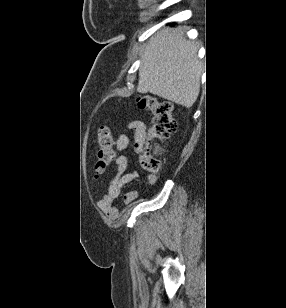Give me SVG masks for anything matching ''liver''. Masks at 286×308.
Returning a JSON list of instances; mask_svg holds the SVG:
<instances>
[{
    "instance_id": "liver-1",
    "label": "liver",
    "mask_w": 286,
    "mask_h": 308,
    "mask_svg": "<svg viewBox=\"0 0 286 308\" xmlns=\"http://www.w3.org/2000/svg\"><path fill=\"white\" fill-rule=\"evenodd\" d=\"M202 64L184 33L164 28L148 42L139 68V93H151L189 108L200 92Z\"/></svg>"
}]
</instances>
